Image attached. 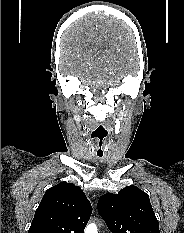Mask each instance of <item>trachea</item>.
<instances>
[{"mask_svg":"<svg viewBox=\"0 0 184 233\" xmlns=\"http://www.w3.org/2000/svg\"><path fill=\"white\" fill-rule=\"evenodd\" d=\"M108 135L107 130L103 126L95 128L91 134L95 143V152L98 157H102L105 153V140Z\"/></svg>","mask_w":184,"mask_h":233,"instance_id":"trachea-1","label":"trachea"}]
</instances>
